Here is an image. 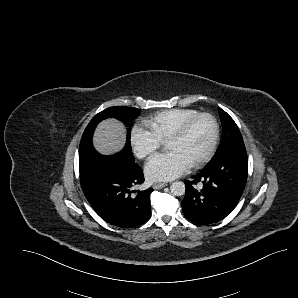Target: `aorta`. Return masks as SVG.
Wrapping results in <instances>:
<instances>
[{
  "mask_svg": "<svg viewBox=\"0 0 298 298\" xmlns=\"http://www.w3.org/2000/svg\"><path fill=\"white\" fill-rule=\"evenodd\" d=\"M170 191L175 196H182L185 194L186 186L183 181H174L170 185Z\"/></svg>",
  "mask_w": 298,
  "mask_h": 298,
  "instance_id": "762f6f07",
  "label": "aorta"
}]
</instances>
